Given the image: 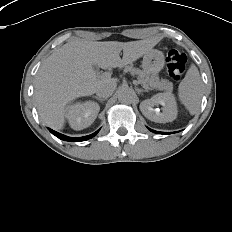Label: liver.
<instances>
[{
	"mask_svg": "<svg viewBox=\"0 0 232 232\" xmlns=\"http://www.w3.org/2000/svg\"><path fill=\"white\" fill-rule=\"evenodd\" d=\"M157 43L155 39L96 42L77 38L64 44L44 61L36 75L34 96L40 120L52 129H62L67 104L96 93L105 81L97 76L93 65L102 69L123 67Z\"/></svg>",
	"mask_w": 232,
	"mask_h": 232,
	"instance_id": "obj_1",
	"label": "liver"
}]
</instances>
